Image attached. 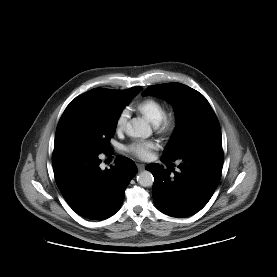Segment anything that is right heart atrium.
<instances>
[{"mask_svg": "<svg viewBox=\"0 0 277 277\" xmlns=\"http://www.w3.org/2000/svg\"><path fill=\"white\" fill-rule=\"evenodd\" d=\"M128 113L126 110L121 111L115 121V129L117 132H122L127 123Z\"/></svg>", "mask_w": 277, "mask_h": 277, "instance_id": "1", "label": "right heart atrium"}]
</instances>
